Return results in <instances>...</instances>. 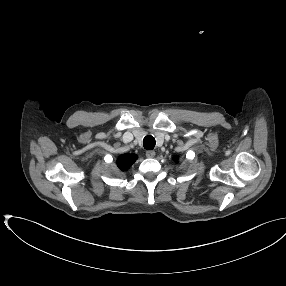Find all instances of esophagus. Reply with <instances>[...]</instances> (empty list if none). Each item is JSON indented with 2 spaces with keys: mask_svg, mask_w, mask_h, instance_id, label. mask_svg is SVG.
<instances>
[{
  "mask_svg": "<svg viewBox=\"0 0 286 286\" xmlns=\"http://www.w3.org/2000/svg\"><path fill=\"white\" fill-rule=\"evenodd\" d=\"M155 151L154 150H148V151H146V156L148 157V158H153L154 156H155Z\"/></svg>",
  "mask_w": 286,
  "mask_h": 286,
  "instance_id": "esophagus-1",
  "label": "esophagus"
}]
</instances>
